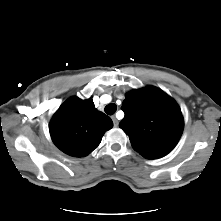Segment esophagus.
Returning a JSON list of instances; mask_svg holds the SVG:
<instances>
[{
	"label": "esophagus",
	"mask_w": 221,
	"mask_h": 221,
	"mask_svg": "<svg viewBox=\"0 0 221 221\" xmlns=\"http://www.w3.org/2000/svg\"><path fill=\"white\" fill-rule=\"evenodd\" d=\"M112 121H113L114 126L117 127L118 124H119V121H118V119L116 118V116H112Z\"/></svg>",
	"instance_id": "34e87169"
}]
</instances>
